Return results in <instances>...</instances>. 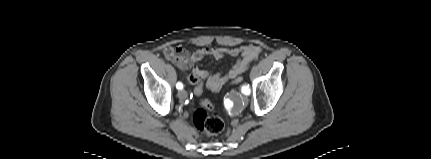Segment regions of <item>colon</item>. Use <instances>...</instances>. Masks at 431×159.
<instances>
[{
    "label": "colon",
    "mask_w": 431,
    "mask_h": 159,
    "mask_svg": "<svg viewBox=\"0 0 431 159\" xmlns=\"http://www.w3.org/2000/svg\"><path fill=\"white\" fill-rule=\"evenodd\" d=\"M185 80L189 81L194 86V96L199 97L198 103L201 107L196 109L193 114V123L195 127L202 133L213 136L221 133L224 129V121L221 116L213 111L214 104L210 100H205L202 97L203 92V81L199 77H195L193 74H186ZM244 80V76H240L230 81V85L238 84Z\"/></svg>",
    "instance_id": "1"
}]
</instances>
